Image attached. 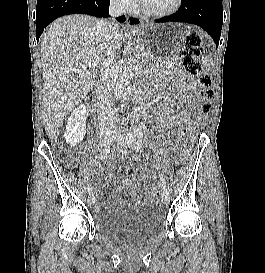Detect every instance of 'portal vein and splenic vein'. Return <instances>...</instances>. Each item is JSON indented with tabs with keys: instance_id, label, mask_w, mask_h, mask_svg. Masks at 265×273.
Segmentation results:
<instances>
[{
	"instance_id": "portal-vein-and-splenic-vein-1",
	"label": "portal vein and splenic vein",
	"mask_w": 265,
	"mask_h": 273,
	"mask_svg": "<svg viewBox=\"0 0 265 273\" xmlns=\"http://www.w3.org/2000/svg\"><path fill=\"white\" fill-rule=\"evenodd\" d=\"M138 58L141 56V54L140 53H138L137 55H136ZM96 68V67H98V63L97 62H89L87 65H83V68ZM80 69H78V68H75L74 69V71H79Z\"/></svg>"
}]
</instances>
